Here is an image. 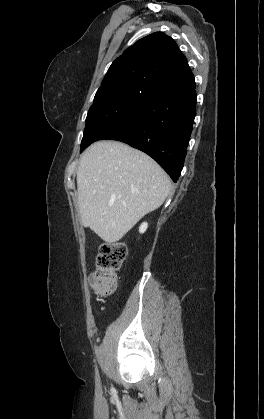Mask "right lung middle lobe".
Here are the masks:
<instances>
[{
	"instance_id": "1",
	"label": "right lung middle lobe",
	"mask_w": 264,
	"mask_h": 419,
	"mask_svg": "<svg viewBox=\"0 0 264 419\" xmlns=\"http://www.w3.org/2000/svg\"><path fill=\"white\" fill-rule=\"evenodd\" d=\"M152 96L151 92L128 84L98 89L88 111L80 152L121 125Z\"/></svg>"
}]
</instances>
